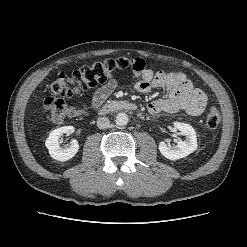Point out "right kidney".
<instances>
[{"instance_id": "right-kidney-1", "label": "right kidney", "mask_w": 247, "mask_h": 247, "mask_svg": "<svg viewBox=\"0 0 247 247\" xmlns=\"http://www.w3.org/2000/svg\"><path fill=\"white\" fill-rule=\"evenodd\" d=\"M74 132L72 126H64L53 130L46 139L45 145L49 150L50 156L58 161H67L73 158L79 150V144L76 140H72L70 145L66 148L59 146V137L64 134H71Z\"/></svg>"}]
</instances>
